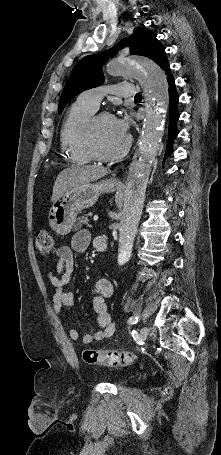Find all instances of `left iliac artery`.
<instances>
[{"instance_id":"44dca946","label":"left iliac artery","mask_w":221,"mask_h":455,"mask_svg":"<svg viewBox=\"0 0 221 455\" xmlns=\"http://www.w3.org/2000/svg\"><path fill=\"white\" fill-rule=\"evenodd\" d=\"M138 321V317H130L128 320L129 324H135Z\"/></svg>"}]
</instances>
